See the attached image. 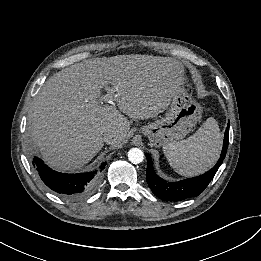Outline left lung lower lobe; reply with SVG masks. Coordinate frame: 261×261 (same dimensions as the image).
Segmentation results:
<instances>
[{
  "mask_svg": "<svg viewBox=\"0 0 261 261\" xmlns=\"http://www.w3.org/2000/svg\"><path fill=\"white\" fill-rule=\"evenodd\" d=\"M229 144V122L225 131L223 148L220 158L216 165L203 175L181 180L178 182H167L160 178L153 168L152 160L149 154H146L147 158V173L146 181L152 190V192L164 201H181L201 194L207 185L210 183L218 168L222 164L227 148Z\"/></svg>",
  "mask_w": 261,
  "mask_h": 261,
  "instance_id": "left-lung-lower-lobe-1",
  "label": "left lung lower lobe"
}]
</instances>
